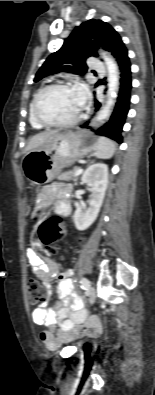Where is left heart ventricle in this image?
<instances>
[{
  "label": "left heart ventricle",
  "mask_w": 155,
  "mask_h": 395,
  "mask_svg": "<svg viewBox=\"0 0 155 395\" xmlns=\"http://www.w3.org/2000/svg\"><path fill=\"white\" fill-rule=\"evenodd\" d=\"M39 113L50 122H66L79 112L74 88H57L46 92L39 101Z\"/></svg>",
  "instance_id": "b2bd125f"
}]
</instances>
